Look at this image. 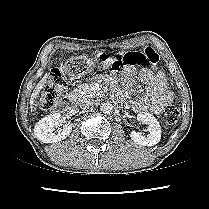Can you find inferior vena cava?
Instances as JSON below:
<instances>
[{"mask_svg": "<svg viewBox=\"0 0 209 209\" xmlns=\"http://www.w3.org/2000/svg\"><path fill=\"white\" fill-rule=\"evenodd\" d=\"M94 100L92 98H83L80 100V108L83 109V110H91L94 106Z\"/></svg>", "mask_w": 209, "mask_h": 209, "instance_id": "obj_1", "label": "inferior vena cava"}]
</instances>
